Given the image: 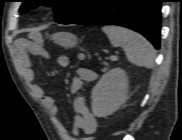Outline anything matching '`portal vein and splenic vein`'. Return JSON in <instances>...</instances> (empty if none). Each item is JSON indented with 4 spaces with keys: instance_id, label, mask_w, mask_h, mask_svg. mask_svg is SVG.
Here are the masks:
<instances>
[{
    "instance_id": "1",
    "label": "portal vein and splenic vein",
    "mask_w": 182,
    "mask_h": 140,
    "mask_svg": "<svg viewBox=\"0 0 182 140\" xmlns=\"http://www.w3.org/2000/svg\"><path fill=\"white\" fill-rule=\"evenodd\" d=\"M110 59H111L112 61H115V60L118 59V57H117V56H111Z\"/></svg>"
}]
</instances>
